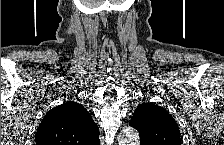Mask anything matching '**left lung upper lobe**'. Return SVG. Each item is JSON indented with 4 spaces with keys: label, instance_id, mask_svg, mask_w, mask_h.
<instances>
[{
    "label": "left lung upper lobe",
    "instance_id": "obj_1",
    "mask_svg": "<svg viewBox=\"0 0 224 145\" xmlns=\"http://www.w3.org/2000/svg\"><path fill=\"white\" fill-rule=\"evenodd\" d=\"M129 125L138 130L140 145H181L176 121L163 107L156 104H140Z\"/></svg>",
    "mask_w": 224,
    "mask_h": 145
}]
</instances>
